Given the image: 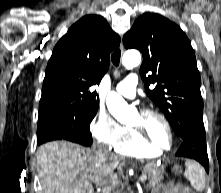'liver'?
<instances>
[{"instance_id":"6515ba94","label":"liver","mask_w":221,"mask_h":193,"mask_svg":"<svg viewBox=\"0 0 221 193\" xmlns=\"http://www.w3.org/2000/svg\"><path fill=\"white\" fill-rule=\"evenodd\" d=\"M43 193H88L119 165L114 154L69 141L41 145L36 153Z\"/></svg>"}]
</instances>
